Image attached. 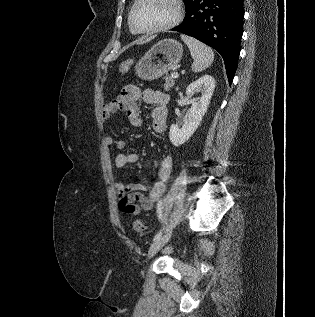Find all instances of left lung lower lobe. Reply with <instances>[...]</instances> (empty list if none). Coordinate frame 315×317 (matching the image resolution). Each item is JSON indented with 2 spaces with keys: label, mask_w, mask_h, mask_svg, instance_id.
<instances>
[{
  "label": "left lung lower lobe",
  "mask_w": 315,
  "mask_h": 317,
  "mask_svg": "<svg viewBox=\"0 0 315 317\" xmlns=\"http://www.w3.org/2000/svg\"><path fill=\"white\" fill-rule=\"evenodd\" d=\"M243 0H193L183 22L172 29L192 36L218 51L231 84L243 34Z\"/></svg>",
  "instance_id": "obj_1"
}]
</instances>
